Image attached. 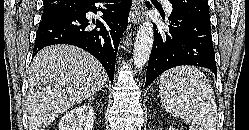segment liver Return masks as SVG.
I'll return each mask as SVG.
<instances>
[{
    "label": "liver",
    "instance_id": "1",
    "mask_svg": "<svg viewBox=\"0 0 249 130\" xmlns=\"http://www.w3.org/2000/svg\"><path fill=\"white\" fill-rule=\"evenodd\" d=\"M107 78L100 62L78 47L42 49L29 69L25 104L29 130H44L60 114L100 91Z\"/></svg>",
    "mask_w": 249,
    "mask_h": 130
}]
</instances>
